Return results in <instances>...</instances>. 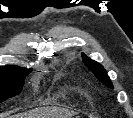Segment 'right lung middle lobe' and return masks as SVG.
<instances>
[{"mask_svg":"<svg viewBox=\"0 0 133 118\" xmlns=\"http://www.w3.org/2000/svg\"><path fill=\"white\" fill-rule=\"evenodd\" d=\"M32 69H0V103L18 95L23 88L25 77Z\"/></svg>","mask_w":133,"mask_h":118,"instance_id":"right-lung-middle-lobe-1","label":"right lung middle lobe"}]
</instances>
